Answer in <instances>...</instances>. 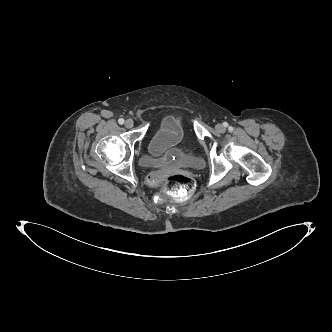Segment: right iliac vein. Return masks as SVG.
I'll list each match as a JSON object with an SVG mask.
<instances>
[{"mask_svg":"<svg viewBox=\"0 0 332 332\" xmlns=\"http://www.w3.org/2000/svg\"><path fill=\"white\" fill-rule=\"evenodd\" d=\"M133 125H134V122H133V120L132 119H127L126 121H125V127L126 128H132L133 127Z\"/></svg>","mask_w":332,"mask_h":332,"instance_id":"63e3f726","label":"right iliac vein"}]
</instances>
